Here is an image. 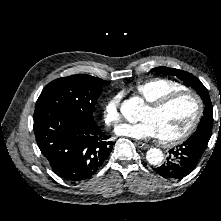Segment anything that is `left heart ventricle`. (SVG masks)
I'll return each mask as SVG.
<instances>
[{"instance_id": "obj_1", "label": "left heart ventricle", "mask_w": 221, "mask_h": 221, "mask_svg": "<svg viewBox=\"0 0 221 221\" xmlns=\"http://www.w3.org/2000/svg\"><path fill=\"white\" fill-rule=\"evenodd\" d=\"M196 105L192 98L182 97L160 111L144 109L141 120H150L161 139H169L181 134L192 121Z\"/></svg>"}]
</instances>
